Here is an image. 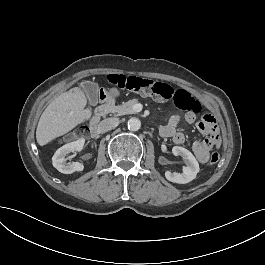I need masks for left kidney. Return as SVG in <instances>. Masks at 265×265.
Returning <instances> with one entry per match:
<instances>
[{"label":"left kidney","instance_id":"obj_1","mask_svg":"<svg viewBox=\"0 0 265 265\" xmlns=\"http://www.w3.org/2000/svg\"><path fill=\"white\" fill-rule=\"evenodd\" d=\"M172 153L174 156H181L185 161L186 167L182 168L181 173L177 171L166 172L167 180L177 184H186L195 179L199 172V164L193 154L181 146H174Z\"/></svg>","mask_w":265,"mask_h":265}]
</instances>
